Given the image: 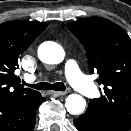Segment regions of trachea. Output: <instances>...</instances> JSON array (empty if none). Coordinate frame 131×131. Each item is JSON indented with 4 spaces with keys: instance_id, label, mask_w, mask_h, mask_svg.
I'll use <instances>...</instances> for the list:
<instances>
[{
    "instance_id": "obj_1",
    "label": "trachea",
    "mask_w": 131,
    "mask_h": 131,
    "mask_svg": "<svg viewBox=\"0 0 131 131\" xmlns=\"http://www.w3.org/2000/svg\"><path fill=\"white\" fill-rule=\"evenodd\" d=\"M26 86L37 89V90H55V91H65L66 86L62 82H57L54 84H50L47 82H40L37 84H27L24 83Z\"/></svg>"
}]
</instances>
